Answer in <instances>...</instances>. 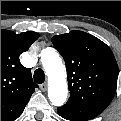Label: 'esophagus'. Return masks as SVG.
I'll use <instances>...</instances> for the list:
<instances>
[{
    "label": "esophagus",
    "mask_w": 121,
    "mask_h": 121,
    "mask_svg": "<svg viewBox=\"0 0 121 121\" xmlns=\"http://www.w3.org/2000/svg\"><path fill=\"white\" fill-rule=\"evenodd\" d=\"M47 87H48V85H47L46 82L40 85V89H41V91H43V92H45V91L47 90Z\"/></svg>",
    "instance_id": "34e87169"
}]
</instances>
